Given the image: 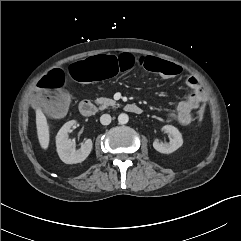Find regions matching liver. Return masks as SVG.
<instances>
[{
  "mask_svg": "<svg viewBox=\"0 0 241 241\" xmlns=\"http://www.w3.org/2000/svg\"><path fill=\"white\" fill-rule=\"evenodd\" d=\"M36 128L40 146L46 150L50 141L49 126L45 115L40 109L36 110Z\"/></svg>",
  "mask_w": 241,
  "mask_h": 241,
  "instance_id": "1",
  "label": "liver"
}]
</instances>
